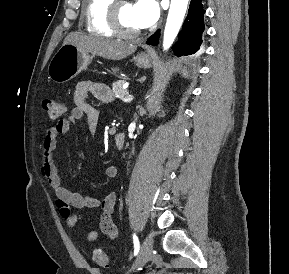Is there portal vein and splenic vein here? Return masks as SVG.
<instances>
[{
	"label": "portal vein and splenic vein",
	"mask_w": 289,
	"mask_h": 274,
	"mask_svg": "<svg viewBox=\"0 0 289 274\" xmlns=\"http://www.w3.org/2000/svg\"><path fill=\"white\" fill-rule=\"evenodd\" d=\"M133 100V96L132 95H127L125 97L122 98V101L127 103Z\"/></svg>",
	"instance_id": "obj_1"
}]
</instances>
